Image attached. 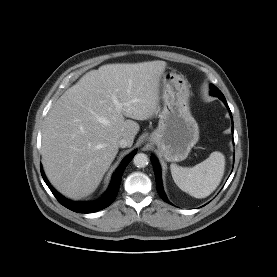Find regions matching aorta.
<instances>
[{
	"label": "aorta",
	"mask_w": 277,
	"mask_h": 277,
	"mask_svg": "<svg viewBox=\"0 0 277 277\" xmlns=\"http://www.w3.org/2000/svg\"><path fill=\"white\" fill-rule=\"evenodd\" d=\"M148 156L144 153H138L133 159V163L138 168H143L148 165Z\"/></svg>",
	"instance_id": "aorta-1"
}]
</instances>
